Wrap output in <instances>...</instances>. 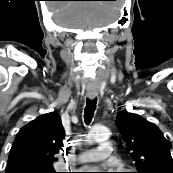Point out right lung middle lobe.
Returning a JSON list of instances; mask_svg holds the SVG:
<instances>
[{
    "label": "right lung middle lobe",
    "mask_w": 173,
    "mask_h": 173,
    "mask_svg": "<svg viewBox=\"0 0 173 173\" xmlns=\"http://www.w3.org/2000/svg\"><path fill=\"white\" fill-rule=\"evenodd\" d=\"M31 173H55V172L54 169H44V170L32 171Z\"/></svg>",
    "instance_id": "dd1d6c3e"
}]
</instances>
